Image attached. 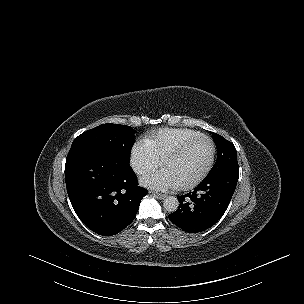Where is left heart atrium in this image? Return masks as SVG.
<instances>
[{
  "label": "left heart atrium",
  "mask_w": 304,
  "mask_h": 304,
  "mask_svg": "<svg viewBox=\"0 0 304 304\" xmlns=\"http://www.w3.org/2000/svg\"><path fill=\"white\" fill-rule=\"evenodd\" d=\"M141 182L144 186L160 190L168 191L178 187V183L169 175L167 171L158 170L145 174Z\"/></svg>",
  "instance_id": "39dd6f15"
}]
</instances>
